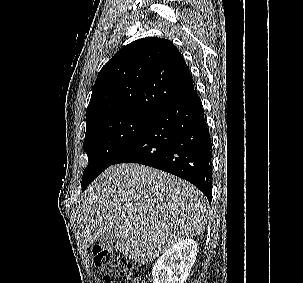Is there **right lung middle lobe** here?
<instances>
[{
    "mask_svg": "<svg viewBox=\"0 0 303 283\" xmlns=\"http://www.w3.org/2000/svg\"><path fill=\"white\" fill-rule=\"evenodd\" d=\"M155 113L127 111L103 118L86 128L84 150L88 166L83 172L82 191L136 140Z\"/></svg>",
    "mask_w": 303,
    "mask_h": 283,
    "instance_id": "obj_1",
    "label": "right lung middle lobe"
}]
</instances>
